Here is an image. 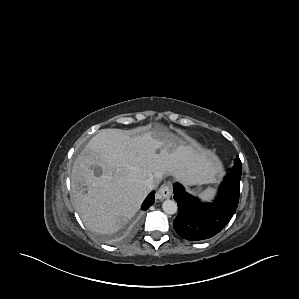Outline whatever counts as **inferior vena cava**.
Instances as JSON below:
<instances>
[{
    "mask_svg": "<svg viewBox=\"0 0 299 299\" xmlns=\"http://www.w3.org/2000/svg\"><path fill=\"white\" fill-rule=\"evenodd\" d=\"M158 182H159V179L150 177L147 180H145L144 185L148 191H151L152 189H154L156 187Z\"/></svg>",
    "mask_w": 299,
    "mask_h": 299,
    "instance_id": "1",
    "label": "inferior vena cava"
}]
</instances>
